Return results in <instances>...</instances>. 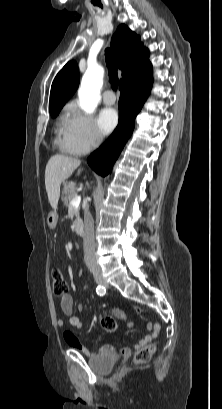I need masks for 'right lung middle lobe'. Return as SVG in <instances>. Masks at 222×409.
<instances>
[{
	"mask_svg": "<svg viewBox=\"0 0 222 409\" xmlns=\"http://www.w3.org/2000/svg\"><path fill=\"white\" fill-rule=\"evenodd\" d=\"M60 110H61V109L55 110V111H50L51 116H52L53 118L56 117V116L58 115V113H59Z\"/></svg>",
	"mask_w": 222,
	"mask_h": 409,
	"instance_id": "1",
	"label": "right lung middle lobe"
}]
</instances>
